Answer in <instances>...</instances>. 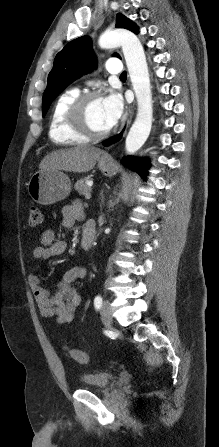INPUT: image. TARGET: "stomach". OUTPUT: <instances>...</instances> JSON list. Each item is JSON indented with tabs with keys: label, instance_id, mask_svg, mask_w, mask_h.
I'll use <instances>...</instances> for the list:
<instances>
[{
	"label": "stomach",
	"instance_id": "obj_1",
	"mask_svg": "<svg viewBox=\"0 0 219 447\" xmlns=\"http://www.w3.org/2000/svg\"><path fill=\"white\" fill-rule=\"evenodd\" d=\"M98 167L105 176H111L117 171L115 161L107 154L99 157ZM27 185L32 200L42 205L61 201L71 192L69 177L58 170H40L31 176Z\"/></svg>",
	"mask_w": 219,
	"mask_h": 447
}]
</instances>
